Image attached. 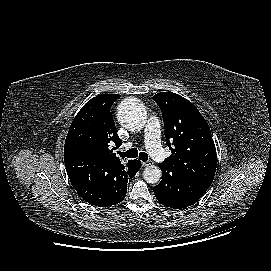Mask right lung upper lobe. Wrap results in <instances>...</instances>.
<instances>
[{
	"label": "right lung upper lobe",
	"instance_id": "obj_1",
	"mask_svg": "<svg viewBox=\"0 0 271 271\" xmlns=\"http://www.w3.org/2000/svg\"><path fill=\"white\" fill-rule=\"evenodd\" d=\"M119 97V94L98 95L80 109L70 125L65 140L64 157L82 154L109 164H122L113 152L122 141L117 135L110 112L112 103ZM133 161L129 160L128 164Z\"/></svg>",
	"mask_w": 271,
	"mask_h": 271
}]
</instances>
